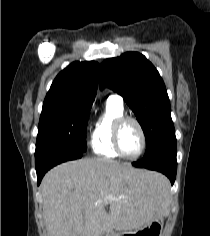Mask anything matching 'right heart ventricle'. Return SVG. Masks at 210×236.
<instances>
[{
	"label": "right heart ventricle",
	"mask_w": 210,
	"mask_h": 236,
	"mask_svg": "<svg viewBox=\"0 0 210 236\" xmlns=\"http://www.w3.org/2000/svg\"><path fill=\"white\" fill-rule=\"evenodd\" d=\"M123 114V105L109 99L106 101L105 110L98 116L90 138L91 149L97 156L106 159L119 157L113 147V126Z\"/></svg>",
	"instance_id": "e07e8e85"
}]
</instances>
